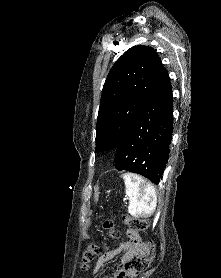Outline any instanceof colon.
Wrapping results in <instances>:
<instances>
[{
	"mask_svg": "<svg viewBox=\"0 0 221 278\" xmlns=\"http://www.w3.org/2000/svg\"><path fill=\"white\" fill-rule=\"evenodd\" d=\"M125 223L129 230L137 232L145 230L149 223L147 220L132 218L125 216ZM103 228L107 231L110 238L116 239L119 237V232L115 229L114 222L110 219H105L102 223ZM100 249L94 244H89L82 254V268L87 269L89 263L92 261L94 255ZM154 260V244L150 242L148 248L144 246L142 253L135 259L128 261L123 270L118 273V278H132L147 270Z\"/></svg>",
	"mask_w": 221,
	"mask_h": 278,
	"instance_id": "obj_1",
	"label": "colon"
}]
</instances>
